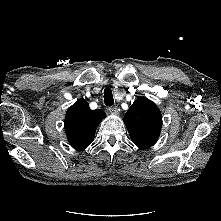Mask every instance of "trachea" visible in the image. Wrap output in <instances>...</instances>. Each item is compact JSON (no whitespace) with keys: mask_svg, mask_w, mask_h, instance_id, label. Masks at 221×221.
<instances>
[{"mask_svg":"<svg viewBox=\"0 0 221 221\" xmlns=\"http://www.w3.org/2000/svg\"><path fill=\"white\" fill-rule=\"evenodd\" d=\"M104 103L108 107L112 106L114 103L112 90L110 88H105L104 90Z\"/></svg>","mask_w":221,"mask_h":221,"instance_id":"3493384b","label":"trachea"}]
</instances>
